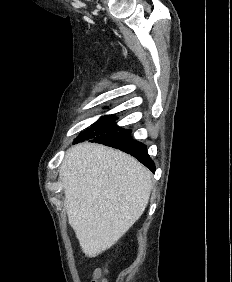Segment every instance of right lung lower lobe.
Here are the masks:
<instances>
[{
  "mask_svg": "<svg viewBox=\"0 0 232 282\" xmlns=\"http://www.w3.org/2000/svg\"><path fill=\"white\" fill-rule=\"evenodd\" d=\"M130 134L131 130L121 129L103 133L101 135H96L86 140H90V142L94 141L100 144H104L106 146L120 149L128 154H131L132 156L137 158L142 164L148 167L152 172H155V164L148 156L145 145L136 140H133Z\"/></svg>",
  "mask_w": 232,
  "mask_h": 282,
  "instance_id": "1",
  "label": "right lung lower lobe"
}]
</instances>
